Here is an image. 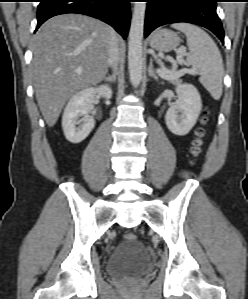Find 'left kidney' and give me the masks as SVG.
Instances as JSON below:
<instances>
[{
    "label": "left kidney",
    "mask_w": 248,
    "mask_h": 299,
    "mask_svg": "<svg viewBox=\"0 0 248 299\" xmlns=\"http://www.w3.org/2000/svg\"><path fill=\"white\" fill-rule=\"evenodd\" d=\"M175 91L178 99L168 109L165 121L173 134L184 136L196 124L202 102L198 90L191 84H179Z\"/></svg>",
    "instance_id": "1"
}]
</instances>
